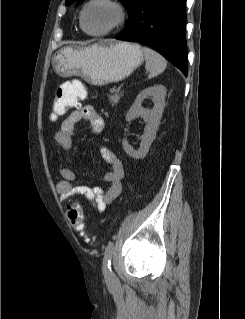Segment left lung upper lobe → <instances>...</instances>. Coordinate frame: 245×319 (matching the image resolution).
I'll return each instance as SVG.
<instances>
[{"label":"left lung upper lobe","mask_w":245,"mask_h":319,"mask_svg":"<svg viewBox=\"0 0 245 319\" xmlns=\"http://www.w3.org/2000/svg\"><path fill=\"white\" fill-rule=\"evenodd\" d=\"M76 1L77 0H66V5L69 6ZM138 1L139 0H120V2H122L126 6L129 18L131 17Z\"/></svg>","instance_id":"1"}]
</instances>
